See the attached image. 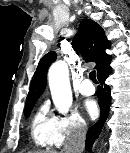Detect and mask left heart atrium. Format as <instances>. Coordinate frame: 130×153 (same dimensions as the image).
Listing matches in <instances>:
<instances>
[{"label":"left heart atrium","instance_id":"left-heart-atrium-1","mask_svg":"<svg viewBox=\"0 0 130 153\" xmlns=\"http://www.w3.org/2000/svg\"><path fill=\"white\" fill-rule=\"evenodd\" d=\"M84 109L91 118H94L98 113L97 104L92 99H88L84 102Z\"/></svg>","mask_w":130,"mask_h":153}]
</instances>
